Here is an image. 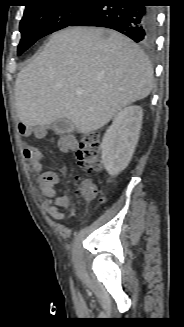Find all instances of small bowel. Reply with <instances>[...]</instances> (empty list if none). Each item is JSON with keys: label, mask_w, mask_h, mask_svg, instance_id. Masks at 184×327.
<instances>
[{"label": "small bowel", "mask_w": 184, "mask_h": 327, "mask_svg": "<svg viewBox=\"0 0 184 327\" xmlns=\"http://www.w3.org/2000/svg\"><path fill=\"white\" fill-rule=\"evenodd\" d=\"M19 131L22 135H29L32 132L30 126L26 124L19 125ZM35 135L37 137H45L47 134V128L42 127L36 130ZM76 140L71 136H65L58 142V148L62 153H72L76 148ZM23 155L26 159L27 166L33 173H40V187L42 194L45 197L48 214L55 220H62L64 214L62 208L69 205L67 196H57V186L59 184V178L56 173L52 171H43V155L39 148L34 146H27L24 148Z\"/></svg>", "instance_id": "1"}]
</instances>
